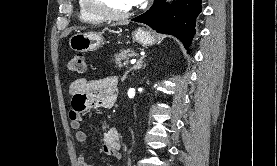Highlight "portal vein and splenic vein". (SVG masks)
Returning <instances> with one entry per match:
<instances>
[{"label":"portal vein and splenic vein","instance_id":"1","mask_svg":"<svg viewBox=\"0 0 277 166\" xmlns=\"http://www.w3.org/2000/svg\"><path fill=\"white\" fill-rule=\"evenodd\" d=\"M135 62H136V59H132V60L130 61L131 64H134Z\"/></svg>","mask_w":277,"mask_h":166}]
</instances>
